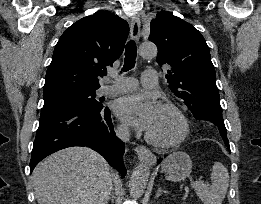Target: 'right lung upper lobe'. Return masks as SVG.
Listing matches in <instances>:
<instances>
[{"label": "right lung upper lobe", "instance_id": "obj_1", "mask_svg": "<svg viewBox=\"0 0 261 204\" xmlns=\"http://www.w3.org/2000/svg\"><path fill=\"white\" fill-rule=\"evenodd\" d=\"M128 33V23L110 12L75 22L56 44L43 94L97 90L101 70L121 56Z\"/></svg>", "mask_w": 261, "mask_h": 204}]
</instances>
